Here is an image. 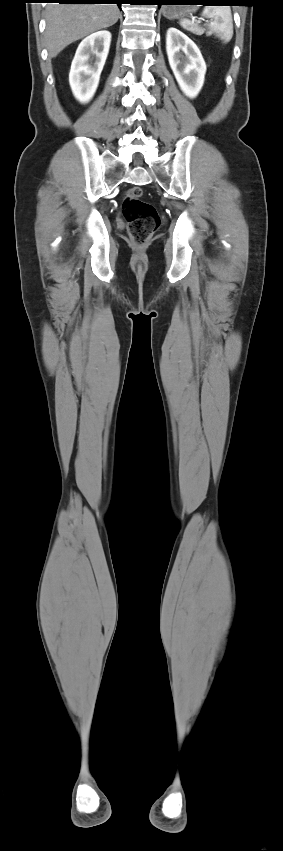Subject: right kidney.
Masks as SVG:
<instances>
[{
	"instance_id": "obj_1",
	"label": "right kidney",
	"mask_w": 283,
	"mask_h": 851,
	"mask_svg": "<svg viewBox=\"0 0 283 851\" xmlns=\"http://www.w3.org/2000/svg\"><path fill=\"white\" fill-rule=\"evenodd\" d=\"M110 42L111 33L102 30L83 39L76 50L69 83L73 95L81 103L89 102L96 92Z\"/></svg>"
}]
</instances>
